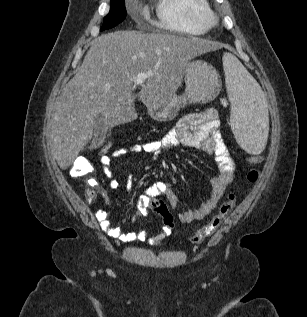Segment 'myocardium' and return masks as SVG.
I'll use <instances>...</instances> for the list:
<instances>
[{"instance_id": "myocardium-1", "label": "myocardium", "mask_w": 307, "mask_h": 317, "mask_svg": "<svg viewBox=\"0 0 307 317\" xmlns=\"http://www.w3.org/2000/svg\"><path fill=\"white\" fill-rule=\"evenodd\" d=\"M218 20H219V18L217 16V14L209 8V10L204 15V21H205L206 25L208 27H214L217 25Z\"/></svg>"}]
</instances>
